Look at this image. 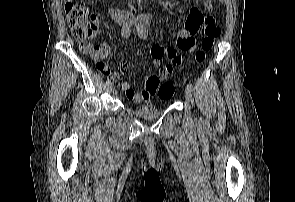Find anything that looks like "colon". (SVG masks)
Returning a JSON list of instances; mask_svg holds the SVG:
<instances>
[{"mask_svg":"<svg viewBox=\"0 0 295 202\" xmlns=\"http://www.w3.org/2000/svg\"><path fill=\"white\" fill-rule=\"evenodd\" d=\"M65 14L72 35L78 41L81 50L90 45L89 42L94 37L97 27L91 19V15L89 16L86 5L79 0H67ZM219 32V28L214 23H208L205 26L201 50L196 55L198 62L204 61L205 52L213 47ZM144 84L145 90H155V93L163 100L171 99L175 91V84L173 82L166 81L161 83L160 78L156 75L151 76L150 79H144Z\"/></svg>","mask_w":295,"mask_h":202,"instance_id":"colon-1","label":"colon"}]
</instances>
